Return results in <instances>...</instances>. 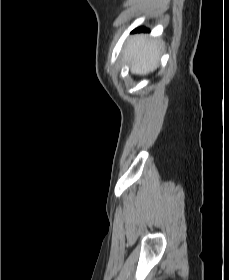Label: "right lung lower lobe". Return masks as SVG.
Returning <instances> with one entry per match:
<instances>
[{"instance_id": "98d812e1", "label": "right lung lower lobe", "mask_w": 229, "mask_h": 280, "mask_svg": "<svg viewBox=\"0 0 229 280\" xmlns=\"http://www.w3.org/2000/svg\"><path fill=\"white\" fill-rule=\"evenodd\" d=\"M142 30L147 31V29H145V28H143V27L138 28V29H136L135 31H142Z\"/></svg>"}]
</instances>
